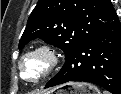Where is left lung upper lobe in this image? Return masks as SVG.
<instances>
[{
    "mask_svg": "<svg viewBox=\"0 0 121 94\" xmlns=\"http://www.w3.org/2000/svg\"><path fill=\"white\" fill-rule=\"evenodd\" d=\"M117 14L110 0H39L19 42L34 38L63 49L66 59Z\"/></svg>",
    "mask_w": 121,
    "mask_h": 94,
    "instance_id": "5c2ea615",
    "label": "left lung upper lobe"
}]
</instances>
